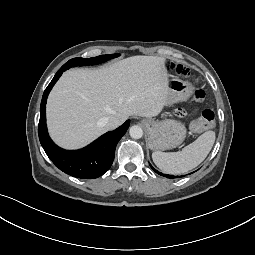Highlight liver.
<instances>
[{
  "mask_svg": "<svg viewBox=\"0 0 255 255\" xmlns=\"http://www.w3.org/2000/svg\"><path fill=\"white\" fill-rule=\"evenodd\" d=\"M165 58L132 56L109 67L65 72L47 102L50 136L61 147H83L108 129L103 120L117 116H157L168 102Z\"/></svg>",
  "mask_w": 255,
  "mask_h": 255,
  "instance_id": "6515ba94",
  "label": "liver"
}]
</instances>
